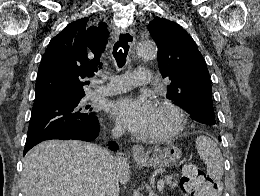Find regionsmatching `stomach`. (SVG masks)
Listing matches in <instances>:
<instances>
[{"instance_id": "obj_1", "label": "stomach", "mask_w": 260, "mask_h": 196, "mask_svg": "<svg viewBox=\"0 0 260 196\" xmlns=\"http://www.w3.org/2000/svg\"><path fill=\"white\" fill-rule=\"evenodd\" d=\"M182 154L177 146H168V148H155L153 156L148 160H135L141 166L147 168H169L179 162Z\"/></svg>"}]
</instances>
